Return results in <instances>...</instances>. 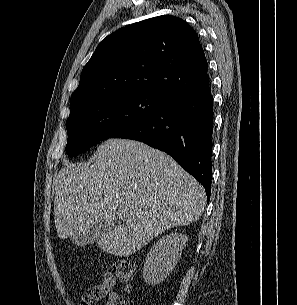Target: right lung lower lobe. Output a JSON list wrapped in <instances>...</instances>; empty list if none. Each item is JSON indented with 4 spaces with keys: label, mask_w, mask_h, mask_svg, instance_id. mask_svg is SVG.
Listing matches in <instances>:
<instances>
[{
    "label": "right lung lower lobe",
    "mask_w": 297,
    "mask_h": 305,
    "mask_svg": "<svg viewBox=\"0 0 297 305\" xmlns=\"http://www.w3.org/2000/svg\"><path fill=\"white\" fill-rule=\"evenodd\" d=\"M213 102L209 81L178 91L148 117L114 138L144 142L173 157L205 188L210 199Z\"/></svg>",
    "instance_id": "1"
}]
</instances>
